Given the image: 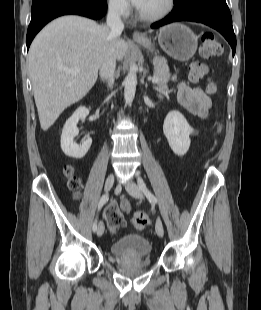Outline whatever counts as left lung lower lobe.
Masks as SVG:
<instances>
[{"instance_id": "left-lung-lower-lobe-1", "label": "left lung lower lobe", "mask_w": 261, "mask_h": 310, "mask_svg": "<svg viewBox=\"0 0 261 310\" xmlns=\"http://www.w3.org/2000/svg\"><path fill=\"white\" fill-rule=\"evenodd\" d=\"M176 21L198 22L216 29L226 38L235 54L236 37L226 0H188L182 5H174L173 11L166 18L151 27L158 28Z\"/></svg>"}]
</instances>
